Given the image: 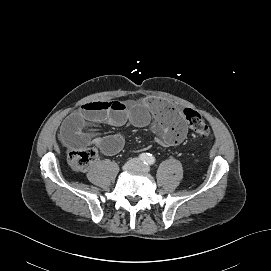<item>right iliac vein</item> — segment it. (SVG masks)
<instances>
[{
    "mask_svg": "<svg viewBox=\"0 0 271 271\" xmlns=\"http://www.w3.org/2000/svg\"><path fill=\"white\" fill-rule=\"evenodd\" d=\"M138 166V162L135 159H131L129 161H127L124 166H123V170H132V169H136Z\"/></svg>",
    "mask_w": 271,
    "mask_h": 271,
    "instance_id": "obj_1",
    "label": "right iliac vein"
}]
</instances>
